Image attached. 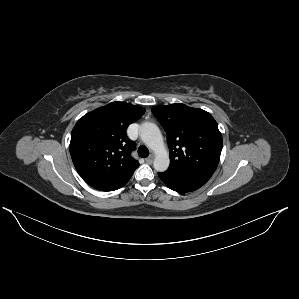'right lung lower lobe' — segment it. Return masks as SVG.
<instances>
[{"mask_svg":"<svg viewBox=\"0 0 299 299\" xmlns=\"http://www.w3.org/2000/svg\"><path fill=\"white\" fill-rule=\"evenodd\" d=\"M130 178L125 179V180L115 181V182H112L109 184H104V185L97 186L94 188L97 190H101V191H114V190H117V189L121 188L122 186H124L129 181Z\"/></svg>","mask_w":299,"mask_h":299,"instance_id":"98d812e1","label":"right lung lower lobe"}]
</instances>
